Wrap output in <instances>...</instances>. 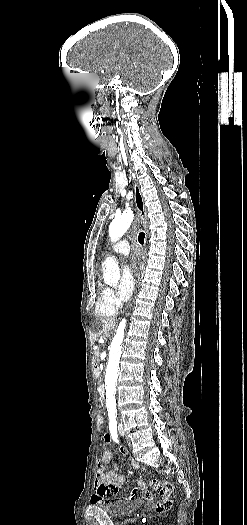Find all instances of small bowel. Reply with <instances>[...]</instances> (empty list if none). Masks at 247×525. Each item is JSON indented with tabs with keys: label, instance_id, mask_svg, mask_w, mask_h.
Returning a JSON list of instances; mask_svg holds the SVG:
<instances>
[{
	"label": "small bowel",
	"instance_id": "obj_1",
	"mask_svg": "<svg viewBox=\"0 0 247 525\" xmlns=\"http://www.w3.org/2000/svg\"><path fill=\"white\" fill-rule=\"evenodd\" d=\"M104 440L107 443H114L113 436L110 432H107L104 434ZM110 462H114L116 469L113 471H107L105 469V466L109 464ZM132 466L135 468H131L127 470L128 474L134 475L138 474V468L139 464L137 461H132ZM124 476L119 472L117 468V463L115 461V457L113 453L106 449L104 450L101 459L97 462V472H96V478H95V489L96 493L92 496V504L93 506H117L119 499L117 497L119 487L124 482ZM147 482L145 479L140 478L135 482V485L133 489L130 491L131 495L125 496V499H129L132 504H141L143 502V495L141 494L144 491V488L146 487ZM152 486L156 488V490H160L164 494L165 500L162 504H157L155 506V511L157 513H162L163 511L166 513L171 512L172 510V502L168 499L169 496L172 494V483L168 479H163L159 481H155L152 483ZM154 487H151V490H154ZM145 501L150 502L152 500V497L150 496L151 491L149 489H146L144 491Z\"/></svg>",
	"mask_w": 247,
	"mask_h": 525
}]
</instances>
